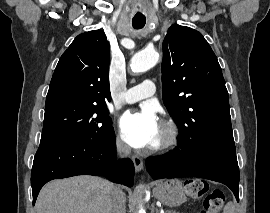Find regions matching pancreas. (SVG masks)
<instances>
[{
	"instance_id": "cf45deb5",
	"label": "pancreas",
	"mask_w": 270,
	"mask_h": 213,
	"mask_svg": "<svg viewBox=\"0 0 270 213\" xmlns=\"http://www.w3.org/2000/svg\"><path fill=\"white\" fill-rule=\"evenodd\" d=\"M166 213H177V212H171V211H168V212H166Z\"/></svg>"
}]
</instances>
